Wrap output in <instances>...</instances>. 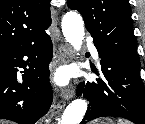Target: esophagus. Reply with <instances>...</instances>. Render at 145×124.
Instances as JSON below:
<instances>
[{"label": "esophagus", "mask_w": 145, "mask_h": 124, "mask_svg": "<svg viewBox=\"0 0 145 124\" xmlns=\"http://www.w3.org/2000/svg\"><path fill=\"white\" fill-rule=\"evenodd\" d=\"M71 49L68 45L61 43L58 48L57 63H69L71 59ZM74 86L71 84L67 88H62L60 96L65 100H69L74 96Z\"/></svg>", "instance_id": "1"}]
</instances>
